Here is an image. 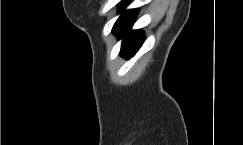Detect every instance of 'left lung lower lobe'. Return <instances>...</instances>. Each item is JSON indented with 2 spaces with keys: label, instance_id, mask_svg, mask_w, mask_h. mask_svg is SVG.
Returning <instances> with one entry per match:
<instances>
[{
  "label": "left lung lower lobe",
  "instance_id": "1",
  "mask_svg": "<svg viewBox=\"0 0 243 145\" xmlns=\"http://www.w3.org/2000/svg\"><path fill=\"white\" fill-rule=\"evenodd\" d=\"M136 14L137 9L122 13L112 29V32L119 38H123L120 54L124 55L126 58L134 56L144 42L142 30L131 31Z\"/></svg>",
  "mask_w": 243,
  "mask_h": 145
}]
</instances>
